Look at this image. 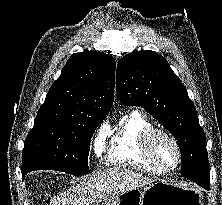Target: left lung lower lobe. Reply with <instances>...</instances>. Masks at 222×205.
<instances>
[{"label": "left lung lower lobe", "instance_id": "0a47b994", "mask_svg": "<svg viewBox=\"0 0 222 205\" xmlns=\"http://www.w3.org/2000/svg\"><path fill=\"white\" fill-rule=\"evenodd\" d=\"M183 177L191 179L204 188H209L210 183L201 182L200 177L196 175L198 169H202V161L195 154H181Z\"/></svg>", "mask_w": 222, "mask_h": 205}]
</instances>
